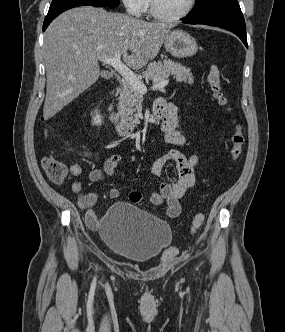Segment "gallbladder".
I'll return each instance as SVG.
<instances>
[{
  "mask_svg": "<svg viewBox=\"0 0 285 332\" xmlns=\"http://www.w3.org/2000/svg\"><path fill=\"white\" fill-rule=\"evenodd\" d=\"M110 76H111L110 73H108V72H106V71H103V72H102V77H104V78H109Z\"/></svg>",
  "mask_w": 285,
  "mask_h": 332,
  "instance_id": "obj_1",
  "label": "gallbladder"
}]
</instances>
